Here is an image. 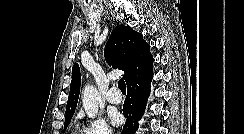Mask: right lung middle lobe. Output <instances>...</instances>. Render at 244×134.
Instances as JSON below:
<instances>
[{"mask_svg": "<svg viewBox=\"0 0 244 134\" xmlns=\"http://www.w3.org/2000/svg\"><path fill=\"white\" fill-rule=\"evenodd\" d=\"M72 116H66L65 117V123H64V131L66 130V128L68 127L70 121H71Z\"/></svg>", "mask_w": 244, "mask_h": 134, "instance_id": "dd1d6c3e", "label": "right lung middle lobe"}]
</instances>
